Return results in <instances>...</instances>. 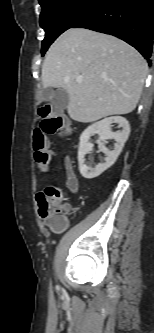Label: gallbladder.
I'll return each instance as SVG.
<instances>
[{
	"label": "gallbladder",
	"instance_id": "1",
	"mask_svg": "<svg viewBox=\"0 0 154 333\" xmlns=\"http://www.w3.org/2000/svg\"><path fill=\"white\" fill-rule=\"evenodd\" d=\"M41 98L45 101L49 99L52 105L60 110L65 109L69 101L67 92L61 88L55 90H52L51 88H42Z\"/></svg>",
	"mask_w": 154,
	"mask_h": 333
}]
</instances>
